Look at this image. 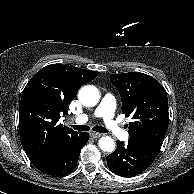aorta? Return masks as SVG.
I'll list each match as a JSON object with an SVG mask.
<instances>
[{
    "label": "aorta",
    "instance_id": "1",
    "mask_svg": "<svg viewBox=\"0 0 194 194\" xmlns=\"http://www.w3.org/2000/svg\"><path fill=\"white\" fill-rule=\"evenodd\" d=\"M78 98L82 105L92 107L98 103L100 94L95 86L87 85L79 90ZM98 146L104 152H113L115 149V142L111 137L104 136L100 138Z\"/></svg>",
    "mask_w": 194,
    "mask_h": 194
}]
</instances>
